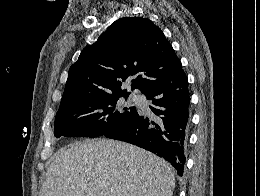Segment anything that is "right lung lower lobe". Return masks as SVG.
<instances>
[{
    "mask_svg": "<svg viewBox=\"0 0 260 196\" xmlns=\"http://www.w3.org/2000/svg\"><path fill=\"white\" fill-rule=\"evenodd\" d=\"M153 114L140 115L105 137L144 148L172 164L179 175L185 168V151L190 124V92L183 70L174 78L141 91Z\"/></svg>",
    "mask_w": 260,
    "mask_h": 196,
    "instance_id": "1",
    "label": "right lung lower lobe"
}]
</instances>
